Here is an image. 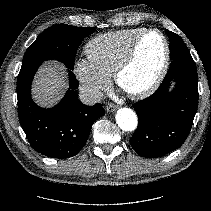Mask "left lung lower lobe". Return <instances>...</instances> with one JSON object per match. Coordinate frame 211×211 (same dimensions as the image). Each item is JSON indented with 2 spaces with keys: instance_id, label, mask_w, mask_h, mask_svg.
<instances>
[{
  "instance_id": "1",
  "label": "left lung lower lobe",
  "mask_w": 211,
  "mask_h": 211,
  "mask_svg": "<svg viewBox=\"0 0 211 211\" xmlns=\"http://www.w3.org/2000/svg\"><path fill=\"white\" fill-rule=\"evenodd\" d=\"M170 48L180 38L169 35ZM175 86L169 92L171 82ZM198 76L190 53L171 60L169 70L154 94L135 104L138 127L130 138L132 148L142 157L156 158L178 149L187 139L198 105Z\"/></svg>"
}]
</instances>
